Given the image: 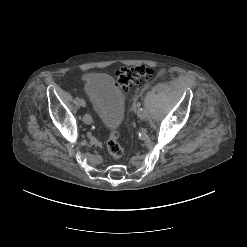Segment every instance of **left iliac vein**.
I'll use <instances>...</instances> for the list:
<instances>
[{"label":"left iliac vein","instance_id":"4c4485c4","mask_svg":"<svg viewBox=\"0 0 247 247\" xmlns=\"http://www.w3.org/2000/svg\"><path fill=\"white\" fill-rule=\"evenodd\" d=\"M137 115H138V117H139L140 119H142V120H147V119L149 118V115L146 113V111H145L144 114H140V113H138V111H137Z\"/></svg>","mask_w":247,"mask_h":247}]
</instances>
